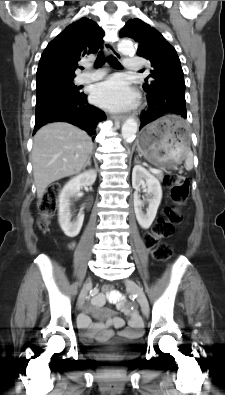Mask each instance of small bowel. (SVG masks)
Returning <instances> with one entry per match:
<instances>
[{"instance_id": "c3829d8e", "label": "small bowel", "mask_w": 225, "mask_h": 395, "mask_svg": "<svg viewBox=\"0 0 225 395\" xmlns=\"http://www.w3.org/2000/svg\"><path fill=\"white\" fill-rule=\"evenodd\" d=\"M108 299L114 303L119 310H121L126 316L128 321V327L122 329L125 326V320L118 316H112L106 321L92 323L87 313L83 314L79 318V326L84 331L83 335L87 338L97 337L99 339H107L112 336V331L109 327H115L122 329L121 334L123 336H134L141 332L142 323L139 315L136 311L131 310L130 306L125 302L119 293L112 290L109 294H98L93 298L92 304L96 308H100Z\"/></svg>"}]
</instances>
